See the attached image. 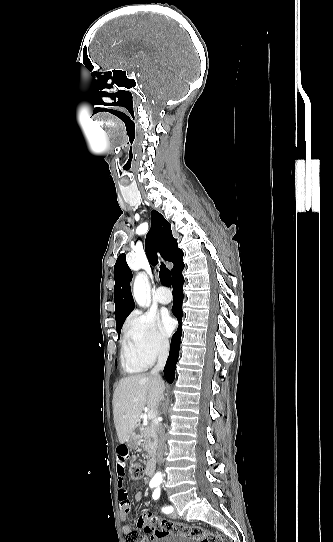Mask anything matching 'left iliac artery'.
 <instances>
[{
	"label": "left iliac artery",
	"instance_id": "obj_1",
	"mask_svg": "<svg viewBox=\"0 0 333 542\" xmlns=\"http://www.w3.org/2000/svg\"><path fill=\"white\" fill-rule=\"evenodd\" d=\"M152 497H153L154 500H157L160 497V488L159 487H157L154 490ZM172 511H173V507H171V506L162 508V512H164L166 514H169Z\"/></svg>",
	"mask_w": 333,
	"mask_h": 542
}]
</instances>
